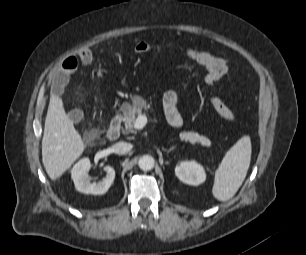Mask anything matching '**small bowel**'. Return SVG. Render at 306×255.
<instances>
[{
	"instance_id": "obj_1",
	"label": "small bowel",
	"mask_w": 306,
	"mask_h": 255,
	"mask_svg": "<svg viewBox=\"0 0 306 255\" xmlns=\"http://www.w3.org/2000/svg\"><path fill=\"white\" fill-rule=\"evenodd\" d=\"M81 61L85 64L92 61V53L90 50H82L79 54ZM78 68V59L74 56L66 58L59 69H57L51 78L52 92L55 96H60L69 81V76L74 73ZM163 110L166 119L173 127H181L183 125V119L178 111V104L180 103L179 94L170 90L163 96ZM70 118L72 121L79 120L81 114L80 111L74 110L70 112Z\"/></svg>"
}]
</instances>
